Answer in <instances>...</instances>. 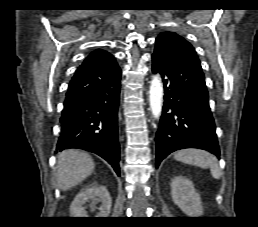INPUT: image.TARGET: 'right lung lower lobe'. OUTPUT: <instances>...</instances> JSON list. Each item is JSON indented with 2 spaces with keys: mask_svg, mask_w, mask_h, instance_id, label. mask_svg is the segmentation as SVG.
Returning <instances> with one entry per match:
<instances>
[{
  "mask_svg": "<svg viewBox=\"0 0 258 227\" xmlns=\"http://www.w3.org/2000/svg\"><path fill=\"white\" fill-rule=\"evenodd\" d=\"M121 69L112 55L95 57L75 72L66 93L57 149L98 154L119 171L118 107Z\"/></svg>",
  "mask_w": 258,
  "mask_h": 227,
  "instance_id": "98d812e1",
  "label": "right lung lower lobe"
}]
</instances>
